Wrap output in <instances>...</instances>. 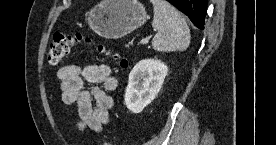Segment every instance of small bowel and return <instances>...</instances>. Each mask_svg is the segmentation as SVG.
<instances>
[{
	"mask_svg": "<svg viewBox=\"0 0 276 145\" xmlns=\"http://www.w3.org/2000/svg\"><path fill=\"white\" fill-rule=\"evenodd\" d=\"M57 76L61 81L63 103L77 108L78 128L100 132L110 121L113 100L108 92L114 91L118 84L110 67L106 64H68L58 70ZM86 83L91 87L87 89Z\"/></svg>",
	"mask_w": 276,
	"mask_h": 145,
	"instance_id": "c3829d8e",
	"label": "small bowel"
}]
</instances>
